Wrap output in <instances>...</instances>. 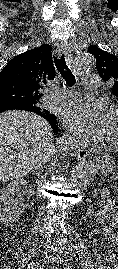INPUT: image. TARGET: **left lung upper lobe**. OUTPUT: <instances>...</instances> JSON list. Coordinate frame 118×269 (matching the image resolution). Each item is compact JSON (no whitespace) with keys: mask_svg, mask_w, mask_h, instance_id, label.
Masks as SVG:
<instances>
[{"mask_svg":"<svg viewBox=\"0 0 118 269\" xmlns=\"http://www.w3.org/2000/svg\"><path fill=\"white\" fill-rule=\"evenodd\" d=\"M88 51L96 58L98 74L103 81L111 85V92L118 97V58L93 45Z\"/></svg>","mask_w":118,"mask_h":269,"instance_id":"left-lung-upper-lobe-1","label":"left lung upper lobe"}]
</instances>
